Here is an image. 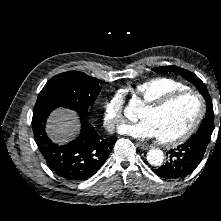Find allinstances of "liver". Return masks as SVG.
Returning a JSON list of instances; mask_svg holds the SVG:
<instances>
[{
    "mask_svg": "<svg viewBox=\"0 0 221 221\" xmlns=\"http://www.w3.org/2000/svg\"><path fill=\"white\" fill-rule=\"evenodd\" d=\"M79 130L77 117L64 109L55 111L48 119L46 131L56 143L68 142Z\"/></svg>",
    "mask_w": 221,
    "mask_h": 221,
    "instance_id": "obj_1",
    "label": "liver"
}]
</instances>
